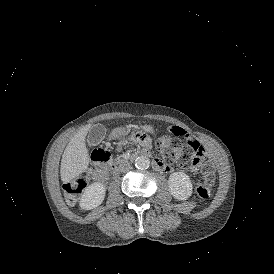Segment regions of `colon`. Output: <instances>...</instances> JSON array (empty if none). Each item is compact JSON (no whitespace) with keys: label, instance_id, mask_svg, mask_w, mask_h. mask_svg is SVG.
Instances as JSON below:
<instances>
[{"label":"colon","instance_id":"obj_1","mask_svg":"<svg viewBox=\"0 0 274 274\" xmlns=\"http://www.w3.org/2000/svg\"><path fill=\"white\" fill-rule=\"evenodd\" d=\"M145 131H135L133 136L129 137L130 143H135L136 140H145ZM157 149L162 158L180 168H190L191 160L189 154L194 152L191 144L187 141H182L176 135H167L162 137L157 142ZM202 181L195 187V192L200 198H209L215 186L216 173L215 166L212 161H205L198 168ZM88 175H81L80 179L72 183H67L63 187V193L68 205L72 206L76 203V196L85 188V184L89 183Z\"/></svg>","mask_w":274,"mask_h":274}]
</instances>
